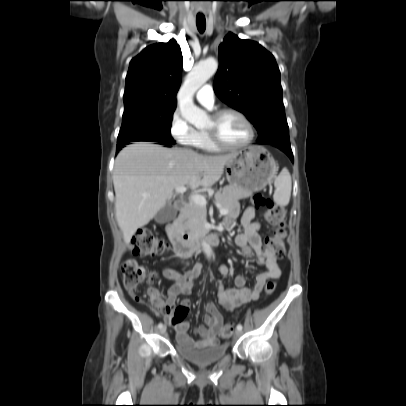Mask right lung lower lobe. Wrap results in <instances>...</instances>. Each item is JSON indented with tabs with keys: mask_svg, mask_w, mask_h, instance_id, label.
Instances as JSON below:
<instances>
[{
	"mask_svg": "<svg viewBox=\"0 0 406 406\" xmlns=\"http://www.w3.org/2000/svg\"><path fill=\"white\" fill-rule=\"evenodd\" d=\"M162 145H165L166 147H172L173 144H171V143H162ZM121 148H123V147L116 148V153H118L121 150Z\"/></svg>",
	"mask_w": 406,
	"mask_h": 406,
	"instance_id": "obj_1",
	"label": "right lung lower lobe"
}]
</instances>
